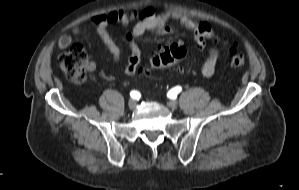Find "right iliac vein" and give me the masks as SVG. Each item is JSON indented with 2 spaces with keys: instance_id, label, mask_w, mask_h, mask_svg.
Returning a JSON list of instances; mask_svg holds the SVG:
<instances>
[{
  "instance_id": "63e3f726",
  "label": "right iliac vein",
  "mask_w": 299,
  "mask_h": 190,
  "mask_svg": "<svg viewBox=\"0 0 299 190\" xmlns=\"http://www.w3.org/2000/svg\"><path fill=\"white\" fill-rule=\"evenodd\" d=\"M136 104H137V102L134 99H131L128 102V106H129L130 109H134L136 107Z\"/></svg>"
}]
</instances>
